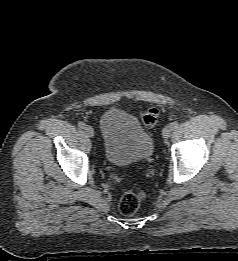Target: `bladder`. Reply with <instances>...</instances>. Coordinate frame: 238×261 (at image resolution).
<instances>
[{
  "instance_id": "1",
  "label": "bladder",
  "mask_w": 238,
  "mask_h": 261,
  "mask_svg": "<svg viewBox=\"0 0 238 261\" xmlns=\"http://www.w3.org/2000/svg\"><path fill=\"white\" fill-rule=\"evenodd\" d=\"M105 159L115 166L148 161L154 151L151 135L133 115L117 108L100 118Z\"/></svg>"
}]
</instances>
